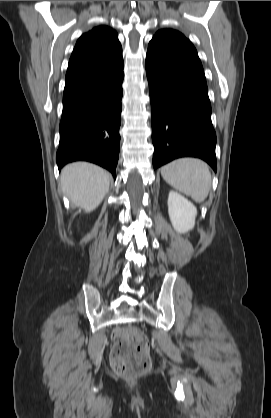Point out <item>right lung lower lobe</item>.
<instances>
[{"mask_svg": "<svg viewBox=\"0 0 271 418\" xmlns=\"http://www.w3.org/2000/svg\"><path fill=\"white\" fill-rule=\"evenodd\" d=\"M122 62L88 86L63 97L58 168L85 160L116 177L121 125Z\"/></svg>", "mask_w": 271, "mask_h": 418, "instance_id": "obj_1", "label": "right lung lower lobe"}]
</instances>
